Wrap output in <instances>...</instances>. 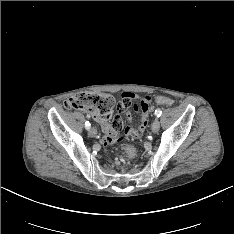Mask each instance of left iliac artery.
I'll return each mask as SVG.
<instances>
[{"label": "left iliac artery", "mask_w": 234, "mask_h": 234, "mask_svg": "<svg viewBox=\"0 0 234 234\" xmlns=\"http://www.w3.org/2000/svg\"><path fill=\"white\" fill-rule=\"evenodd\" d=\"M161 114H162L161 109L158 108L157 110H155V116H156V117H160Z\"/></svg>", "instance_id": "left-iliac-artery-1"}]
</instances>
